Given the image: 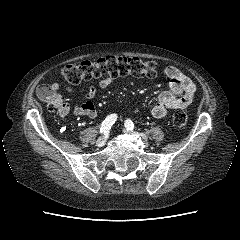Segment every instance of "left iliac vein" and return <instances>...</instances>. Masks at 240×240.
<instances>
[{"instance_id": "left-iliac-vein-1", "label": "left iliac vein", "mask_w": 240, "mask_h": 240, "mask_svg": "<svg viewBox=\"0 0 240 240\" xmlns=\"http://www.w3.org/2000/svg\"><path fill=\"white\" fill-rule=\"evenodd\" d=\"M123 132L124 133H129V134H135L136 132L135 131H132V130H127L126 128L123 129ZM143 140H147L146 139V136L142 133H139L138 134Z\"/></svg>"}]
</instances>
